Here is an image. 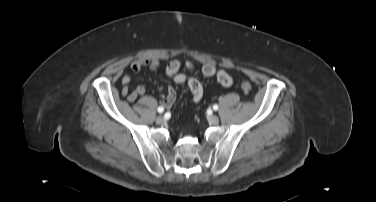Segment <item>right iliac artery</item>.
Instances as JSON below:
<instances>
[{"instance_id":"82829eb1","label":"right iliac artery","mask_w":376,"mask_h":202,"mask_svg":"<svg viewBox=\"0 0 376 202\" xmlns=\"http://www.w3.org/2000/svg\"><path fill=\"white\" fill-rule=\"evenodd\" d=\"M157 111H158L159 113H162V112L164 111V108H163L162 106H160V107H158Z\"/></svg>"}]
</instances>
